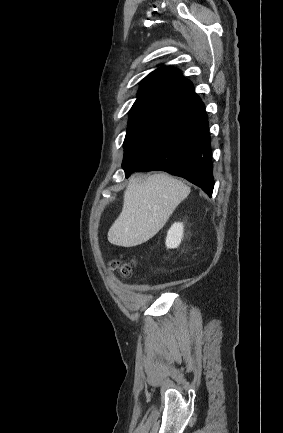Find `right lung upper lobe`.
<instances>
[{"label":"right lung upper lobe","instance_id":"1","mask_svg":"<svg viewBox=\"0 0 283 433\" xmlns=\"http://www.w3.org/2000/svg\"><path fill=\"white\" fill-rule=\"evenodd\" d=\"M131 110L164 113L196 96L193 85L178 69L161 67L143 79Z\"/></svg>","mask_w":283,"mask_h":433}]
</instances>
